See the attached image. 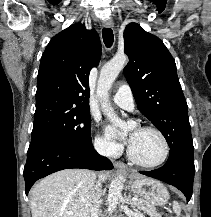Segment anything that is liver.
Segmentation results:
<instances>
[{"mask_svg": "<svg viewBox=\"0 0 211 217\" xmlns=\"http://www.w3.org/2000/svg\"><path fill=\"white\" fill-rule=\"evenodd\" d=\"M96 177L90 170L66 169L42 179L30 191L32 217H89Z\"/></svg>", "mask_w": 211, "mask_h": 217, "instance_id": "1", "label": "liver"}]
</instances>
